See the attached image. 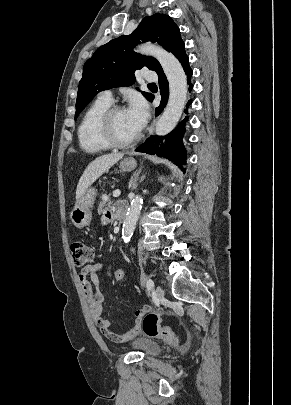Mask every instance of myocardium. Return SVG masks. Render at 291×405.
Returning <instances> with one entry per match:
<instances>
[{
	"label": "myocardium",
	"instance_id": "myocardium-1",
	"mask_svg": "<svg viewBox=\"0 0 291 405\" xmlns=\"http://www.w3.org/2000/svg\"><path fill=\"white\" fill-rule=\"evenodd\" d=\"M125 108L120 105L110 107L102 116L100 120L99 131L104 142L111 148L125 149L134 146L140 140V133H138L133 139L129 141L119 140L114 133L113 119L114 116L124 111Z\"/></svg>",
	"mask_w": 291,
	"mask_h": 405
}]
</instances>
